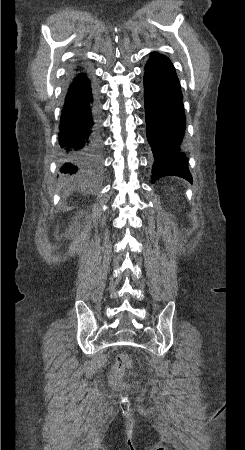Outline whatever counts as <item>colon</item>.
I'll use <instances>...</instances> for the list:
<instances>
[{"label":"colon","mask_w":245,"mask_h":450,"mask_svg":"<svg viewBox=\"0 0 245 450\" xmlns=\"http://www.w3.org/2000/svg\"><path fill=\"white\" fill-rule=\"evenodd\" d=\"M130 365V358L127 354L121 353L116 356L115 369L110 378V384L114 388H120L122 386V379L125 375V370Z\"/></svg>","instance_id":"1"}]
</instances>
